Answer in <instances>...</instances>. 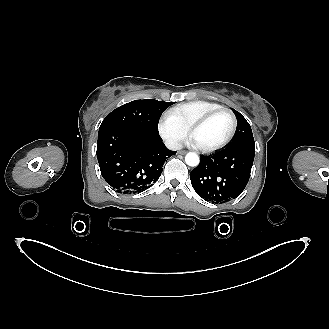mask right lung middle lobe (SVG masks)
I'll return each instance as SVG.
<instances>
[{"label":"right lung middle lobe","instance_id":"right-lung-middle-lobe-1","mask_svg":"<svg viewBox=\"0 0 329 329\" xmlns=\"http://www.w3.org/2000/svg\"><path fill=\"white\" fill-rule=\"evenodd\" d=\"M176 102H162L153 99L134 100L112 111L103 120L100 129L124 127L145 130L159 134L158 122L162 112Z\"/></svg>","mask_w":329,"mask_h":329}]
</instances>
